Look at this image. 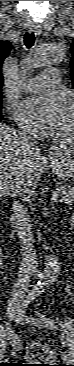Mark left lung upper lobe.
<instances>
[{
	"label": "left lung upper lobe",
	"mask_w": 74,
	"mask_h": 366,
	"mask_svg": "<svg viewBox=\"0 0 74 366\" xmlns=\"http://www.w3.org/2000/svg\"><path fill=\"white\" fill-rule=\"evenodd\" d=\"M71 52H72V58H71V79H72V86L74 88V41L71 43Z\"/></svg>",
	"instance_id": "5c2ea615"
}]
</instances>
